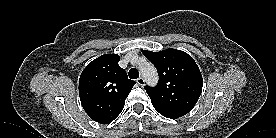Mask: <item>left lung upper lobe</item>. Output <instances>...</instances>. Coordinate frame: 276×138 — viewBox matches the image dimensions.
<instances>
[{
  "label": "left lung upper lobe",
  "mask_w": 276,
  "mask_h": 138,
  "mask_svg": "<svg viewBox=\"0 0 276 138\" xmlns=\"http://www.w3.org/2000/svg\"><path fill=\"white\" fill-rule=\"evenodd\" d=\"M142 53L157 68L159 81L145 86L153 107L163 116L176 119L190 112L202 92L203 79L193 58L184 51L166 49Z\"/></svg>",
  "instance_id": "obj_1"
}]
</instances>
